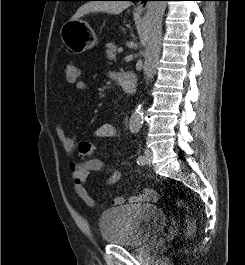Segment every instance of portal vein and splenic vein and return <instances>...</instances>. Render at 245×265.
Here are the masks:
<instances>
[{
    "label": "portal vein and splenic vein",
    "instance_id": "18ae733b",
    "mask_svg": "<svg viewBox=\"0 0 245 265\" xmlns=\"http://www.w3.org/2000/svg\"><path fill=\"white\" fill-rule=\"evenodd\" d=\"M122 52H123V48L120 47V48L118 49V53H122Z\"/></svg>",
    "mask_w": 245,
    "mask_h": 265
}]
</instances>
